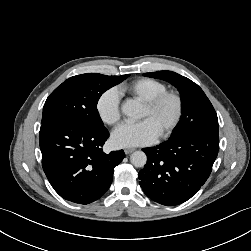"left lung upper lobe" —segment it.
Returning a JSON list of instances; mask_svg holds the SVG:
<instances>
[{
  "mask_svg": "<svg viewBox=\"0 0 251 251\" xmlns=\"http://www.w3.org/2000/svg\"><path fill=\"white\" fill-rule=\"evenodd\" d=\"M144 76L165 80L181 93L183 115L169 140H177L199 130L218 131L217 114L203 90L196 83L172 71L145 73Z\"/></svg>",
  "mask_w": 251,
  "mask_h": 251,
  "instance_id": "left-lung-upper-lobe-1",
  "label": "left lung upper lobe"
}]
</instances>
